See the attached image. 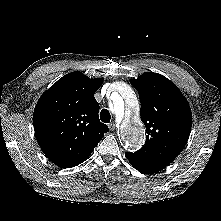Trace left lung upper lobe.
Here are the masks:
<instances>
[{
	"label": "left lung upper lobe",
	"instance_id": "5c2ea615",
	"mask_svg": "<svg viewBox=\"0 0 221 221\" xmlns=\"http://www.w3.org/2000/svg\"><path fill=\"white\" fill-rule=\"evenodd\" d=\"M130 83L139 93L141 120L147 131L144 146L133 154L167 166L188 141L190 106L180 90L160 74L147 72Z\"/></svg>",
	"mask_w": 221,
	"mask_h": 221
}]
</instances>
